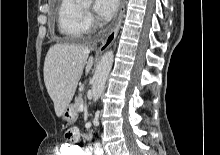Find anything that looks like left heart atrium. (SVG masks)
<instances>
[{"label":"left heart atrium","mask_w":220,"mask_h":155,"mask_svg":"<svg viewBox=\"0 0 220 155\" xmlns=\"http://www.w3.org/2000/svg\"><path fill=\"white\" fill-rule=\"evenodd\" d=\"M119 0H96L94 9L102 18L111 17L117 10Z\"/></svg>","instance_id":"left-heart-atrium-1"}]
</instances>
